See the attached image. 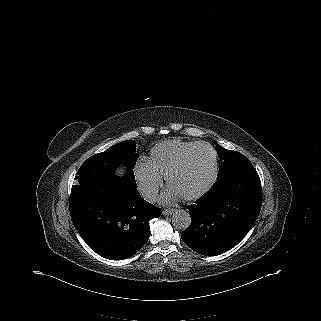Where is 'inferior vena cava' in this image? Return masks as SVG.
Instances as JSON below:
<instances>
[{"instance_id": "obj_1", "label": "inferior vena cava", "mask_w": 321, "mask_h": 321, "mask_svg": "<svg viewBox=\"0 0 321 321\" xmlns=\"http://www.w3.org/2000/svg\"><path fill=\"white\" fill-rule=\"evenodd\" d=\"M141 195L147 202L155 203L158 201V190L155 188H144L141 190Z\"/></svg>"}]
</instances>
